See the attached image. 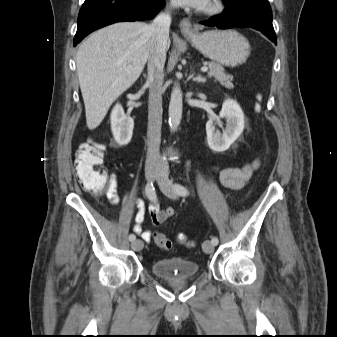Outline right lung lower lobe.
I'll list each match as a JSON object with an SVG mask.
<instances>
[{
  "mask_svg": "<svg viewBox=\"0 0 337 337\" xmlns=\"http://www.w3.org/2000/svg\"><path fill=\"white\" fill-rule=\"evenodd\" d=\"M163 5L164 0H85L78 16L74 46L101 27L153 18Z\"/></svg>",
  "mask_w": 337,
  "mask_h": 337,
  "instance_id": "98d812e1",
  "label": "right lung lower lobe"
}]
</instances>
